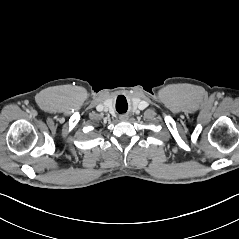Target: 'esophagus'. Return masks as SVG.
I'll use <instances>...</instances> for the list:
<instances>
[{
    "mask_svg": "<svg viewBox=\"0 0 239 239\" xmlns=\"http://www.w3.org/2000/svg\"><path fill=\"white\" fill-rule=\"evenodd\" d=\"M120 119H121V120H126L127 118H126V116H121Z\"/></svg>",
    "mask_w": 239,
    "mask_h": 239,
    "instance_id": "1",
    "label": "esophagus"
}]
</instances>
